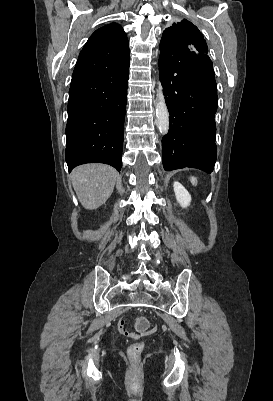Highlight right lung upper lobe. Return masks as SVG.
<instances>
[{
  "label": "right lung upper lobe",
  "instance_id": "1",
  "mask_svg": "<svg viewBox=\"0 0 273 401\" xmlns=\"http://www.w3.org/2000/svg\"><path fill=\"white\" fill-rule=\"evenodd\" d=\"M129 59V42L123 28L111 23L96 30L79 54L71 85L94 78Z\"/></svg>",
  "mask_w": 273,
  "mask_h": 401
}]
</instances>
